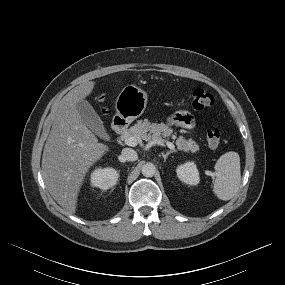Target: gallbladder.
<instances>
[{
	"label": "gallbladder",
	"instance_id": "1",
	"mask_svg": "<svg viewBox=\"0 0 285 285\" xmlns=\"http://www.w3.org/2000/svg\"><path fill=\"white\" fill-rule=\"evenodd\" d=\"M76 106L84 124L90 128L99 138L103 140H109L110 136L104 127L103 121L94 110L92 105L86 100H81L77 102Z\"/></svg>",
	"mask_w": 285,
	"mask_h": 285
}]
</instances>
